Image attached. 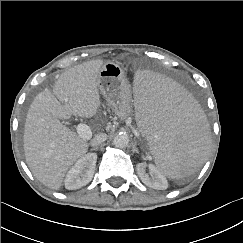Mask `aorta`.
Wrapping results in <instances>:
<instances>
[{
    "label": "aorta",
    "mask_w": 243,
    "mask_h": 243,
    "mask_svg": "<svg viewBox=\"0 0 243 243\" xmlns=\"http://www.w3.org/2000/svg\"><path fill=\"white\" fill-rule=\"evenodd\" d=\"M129 137L127 134H118L113 139V145L117 148H125L128 146Z\"/></svg>",
    "instance_id": "aorta-1"
}]
</instances>
